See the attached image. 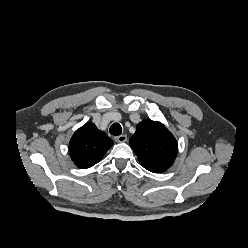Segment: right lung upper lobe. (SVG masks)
Listing matches in <instances>:
<instances>
[{"label": "right lung upper lobe", "instance_id": "obj_1", "mask_svg": "<svg viewBox=\"0 0 248 248\" xmlns=\"http://www.w3.org/2000/svg\"><path fill=\"white\" fill-rule=\"evenodd\" d=\"M113 145V141L93 123H86L76 130L69 143L72 161L81 169L98 163Z\"/></svg>", "mask_w": 248, "mask_h": 248}]
</instances>
